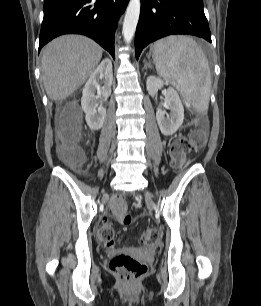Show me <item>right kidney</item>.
Listing matches in <instances>:
<instances>
[{
  "instance_id": "1",
  "label": "right kidney",
  "mask_w": 261,
  "mask_h": 306,
  "mask_svg": "<svg viewBox=\"0 0 261 306\" xmlns=\"http://www.w3.org/2000/svg\"><path fill=\"white\" fill-rule=\"evenodd\" d=\"M100 81L104 83L103 86H100ZM112 81V63L109 59H104L83 88L81 106L91 130H99L103 126L106 108L99 104L98 99H106L111 95Z\"/></svg>"
}]
</instances>
